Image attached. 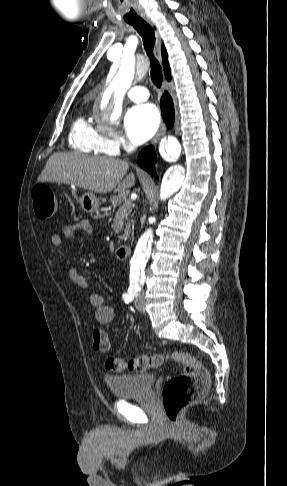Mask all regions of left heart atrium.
I'll use <instances>...</instances> for the list:
<instances>
[{
    "instance_id": "1",
    "label": "left heart atrium",
    "mask_w": 287,
    "mask_h": 486,
    "mask_svg": "<svg viewBox=\"0 0 287 486\" xmlns=\"http://www.w3.org/2000/svg\"><path fill=\"white\" fill-rule=\"evenodd\" d=\"M160 122L159 112L152 104H141L130 108L124 118V127L129 140L142 144L157 131Z\"/></svg>"
}]
</instances>
